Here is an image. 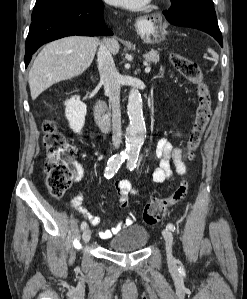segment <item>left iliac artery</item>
Instances as JSON below:
<instances>
[{
  "instance_id": "44dca946",
  "label": "left iliac artery",
  "mask_w": 247,
  "mask_h": 299,
  "mask_svg": "<svg viewBox=\"0 0 247 299\" xmlns=\"http://www.w3.org/2000/svg\"><path fill=\"white\" fill-rule=\"evenodd\" d=\"M138 156L136 157L135 155H130L128 156L127 160V168L132 171L136 167ZM167 228L171 231H175V226L172 223L167 224Z\"/></svg>"
}]
</instances>
